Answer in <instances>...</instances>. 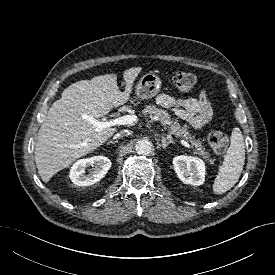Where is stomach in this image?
<instances>
[{"label": "stomach", "mask_w": 275, "mask_h": 275, "mask_svg": "<svg viewBox=\"0 0 275 275\" xmlns=\"http://www.w3.org/2000/svg\"><path fill=\"white\" fill-rule=\"evenodd\" d=\"M161 86L160 78L152 72L143 75L135 87V94L140 99H150L157 95Z\"/></svg>", "instance_id": "stomach-1"}]
</instances>
